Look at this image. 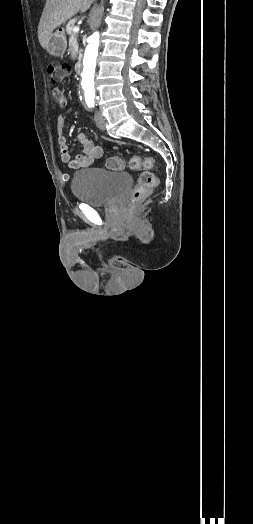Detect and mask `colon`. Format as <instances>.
<instances>
[{
  "label": "colon",
  "mask_w": 253,
  "mask_h": 524,
  "mask_svg": "<svg viewBox=\"0 0 253 524\" xmlns=\"http://www.w3.org/2000/svg\"><path fill=\"white\" fill-rule=\"evenodd\" d=\"M48 73L53 82H60L69 72V66L65 63L51 62L47 66ZM106 165L109 169L120 171L125 168L126 164L123 158L115 156L107 160ZM154 165L152 158L141 159L139 156H134L129 162V166L133 170L150 169ZM158 184V177L155 173L150 171H143L132 191L130 204L132 206L141 202Z\"/></svg>",
  "instance_id": "colon-1"
}]
</instances>
